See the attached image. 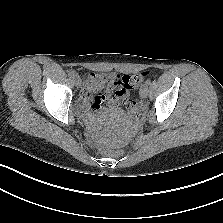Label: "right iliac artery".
Wrapping results in <instances>:
<instances>
[{"mask_svg": "<svg viewBox=\"0 0 223 223\" xmlns=\"http://www.w3.org/2000/svg\"><path fill=\"white\" fill-rule=\"evenodd\" d=\"M69 76L71 78H74L76 76V73L74 71L69 72Z\"/></svg>", "mask_w": 223, "mask_h": 223, "instance_id": "82829eb1", "label": "right iliac artery"}]
</instances>
